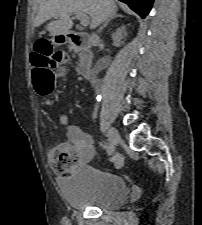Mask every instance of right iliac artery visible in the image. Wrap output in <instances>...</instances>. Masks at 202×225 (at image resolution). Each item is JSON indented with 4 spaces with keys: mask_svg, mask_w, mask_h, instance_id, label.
Here are the masks:
<instances>
[{
    "mask_svg": "<svg viewBox=\"0 0 202 225\" xmlns=\"http://www.w3.org/2000/svg\"><path fill=\"white\" fill-rule=\"evenodd\" d=\"M98 101H100V98L98 99ZM107 149H108V155H111L114 151V149L112 150V147L110 144H107Z\"/></svg>",
    "mask_w": 202,
    "mask_h": 225,
    "instance_id": "1",
    "label": "right iliac artery"
}]
</instances>
